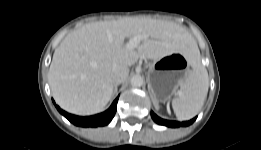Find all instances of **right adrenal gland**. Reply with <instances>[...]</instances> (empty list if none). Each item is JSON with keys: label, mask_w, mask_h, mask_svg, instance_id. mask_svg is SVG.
Instances as JSON below:
<instances>
[{"label": "right adrenal gland", "mask_w": 261, "mask_h": 150, "mask_svg": "<svg viewBox=\"0 0 261 150\" xmlns=\"http://www.w3.org/2000/svg\"><path fill=\"white\" fill-rule=\"evenodd\" d=\"M118 86H119V83H115V84H114V93L117 92V88H118Z\"/></svg>", "instance_id": "1"}]
</instances>
